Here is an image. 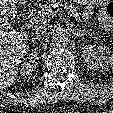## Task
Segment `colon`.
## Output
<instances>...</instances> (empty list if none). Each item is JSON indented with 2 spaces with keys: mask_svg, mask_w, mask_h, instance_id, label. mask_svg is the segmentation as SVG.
Listing matches in <instances>:
<instances>
[{
  "mask_svg": "<svg viewBox=\"0 0 113 113\" xmlns=\"http://www.w3.org/2000/svg\"><path fill=\"white\" fill-rule=\"evenodd\" d=\"M100 12L109 21H113V1L106 0L100 6Z\"/></svg>",
  "mask_w": 113,
  "mask_h": 113,
  "instance_id": "1",
  "label": "colon"
}]
</instances>
